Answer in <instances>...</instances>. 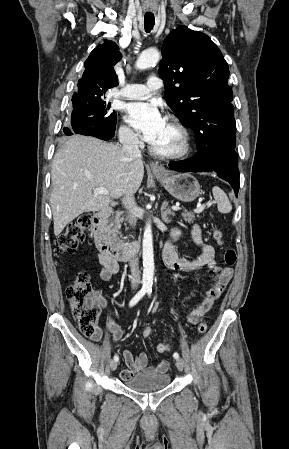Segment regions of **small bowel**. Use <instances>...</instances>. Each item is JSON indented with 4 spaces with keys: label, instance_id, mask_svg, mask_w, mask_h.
<instances>
[{
    "label": "small bowel",
    "instance_id": "small-bowel-1",
    "mask_svg": "<svg viewBox=\"0 0 289 449\" xmlns=\"http://www.w3.org/2000/svg\"><path fill=\"white\" fill-rule=\"evenodd\" d=\"M178 231H173L171 239L165 243L162 251V258L165 265L174 271L189 272L197 270L202 267H207L209 271L215 275L213 286L206 292L202 302L194 307L188 315V322L196 324L202 316H204L212 307L214 302L222 295L224 289L232 278L233 270L230 267H220L214 260V249L211 246L205 245L201 239V231L197 225L192 228V237L194 242L200 246L201 252L194 258H183L178 255L173 246V241L178 237ZM102 269L99 277L103 281H108L113 275L119 271V265L116 260L106 257L101 253L98 256ZM101 305H104V300H100ZM108 330L113 335L116 341H120L123 337V331L120 326L112 319H108ZM102 331L98 329L93 340H100ZM157 351L162 355L163 350L168 348L164 342L157 344ZM162 350V351H161ZM123 359L127 366L121 371V378L128 380L138 373H165L169 368V363L166 360H161L156 366H148V356L145 352L134 356L131 351H123Z\"/></svg>",
    "mask_w": 289,
    "mask_h": 449
}]
</instances>
